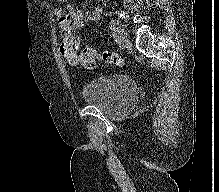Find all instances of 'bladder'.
<instances>
[{
  "mask_svg": "<svg viewBox=\"0 0 219 192\" xmlns=\"http://www.w3.org/2000/svg\"><path fill=\"white\" fill-rule=\"evenodd\" d=\"M137 96L136 83L120 75L90 80L81 90L83 102L112 117L130 110Z\"/></svg>",
  "mask_w": 219,
  "mask_h": 192,
  "instance_id": "1",
  "label": "bladder"
}]
</instances>
